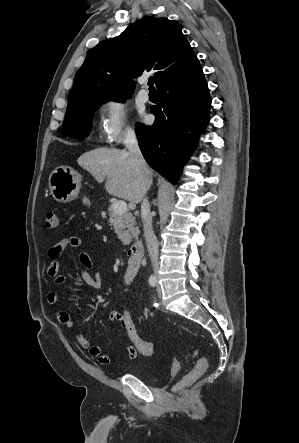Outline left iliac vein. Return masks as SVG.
<instances>
[{"label": "left iliac vein", "mask_w": 299, "mask_h": 443, "mask_svg": "<svg viewBox=\"0 0 299 443\" xmlns=\"http://www.w3.org/2000/svg\"><path fill=\"white\" fill-rule=\"evenodd\" d=\"M156 286H157V294H158L159 297H161L162 292H161L160 285L157 283Z\"/></svg>", "instance_id": "obj_1"}]
</instances>
